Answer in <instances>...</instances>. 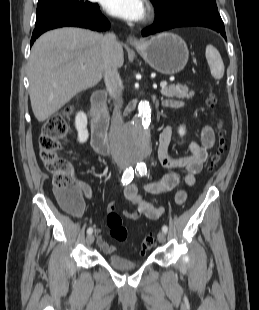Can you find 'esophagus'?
<instances>
[{"label": "esophagus", "instance_id": "1", "mask_svg": "<svg viewBox=\"0 0 259 310\" xmlns=\"http://www.w3.org/2000/svg\"><path fill=\"white\" fill-rule=\"evenodd\" d=\"M128 42H129V44H130L131 46H134V47L140 45V41H139L137 38H135V37H129V38H128Z\"/></svg>", "mask_w": 259, "mask_h": 310}]
</instances>
